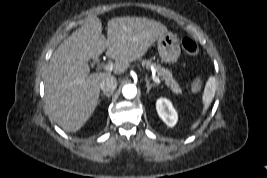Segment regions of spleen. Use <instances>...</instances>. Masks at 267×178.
Wrapping results in <instances>:
<instances>
[{
  "instance_id": "obj_1",
  "label": "spleen",
  "mask_w": 267,
  "mask_h": 178,
  "mask_svg": "<svg viewBox=\"0 0 267 178\" xmlns=\"http://www.w3.org/2000/svg\"><path fill=\"white\" fill-rule=\"evenodd\" d=\"M215 91H216V82L215 79L213 77H210L206 83L205 86V90L203 93V104H204V108H203V114H205L206 110L208 109L212 99L215 96ZM200 124V119L197 120L196 122H194L190 129L194 130L195 128H197V126Z\"/></svg>"
}]
</instances>
